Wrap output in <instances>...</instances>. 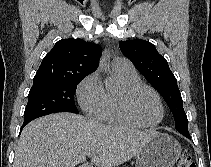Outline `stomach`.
Segmentation results:
<instances>
[{
  "label": "stomach",
  "instance_id": "stomach-1",
  "mask_svg": "<svg viewBox=\"0 0 211 167\" xmlns=\"http://www.w3.org/2000/svg\"><path fill=\"white\" fill-rule=\"evenodd\" d=\"M182 148L172 136L155 132L136 156V167H173Z\"/></svg>",
  "mask_w": 211,
  "mask_h": 167
}]
</instances>
